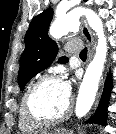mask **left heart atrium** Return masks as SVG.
Segmentation results:
<instances>
[{"mask_svg":"<svg viewBox=\"0 0 116 134\" xmlns=\"http://www.w3.org/2000/svg\"><path fill=\"white\" fill-rule=\"evenodd\" d=\"M60 85L64 95L70 100L72 94L71 82L67 78H63L60 80Z\"/></svg>","mask_w":116,"mask_h":134,"instance_id":"1","label":"left heart atrium"}]
</instances>
